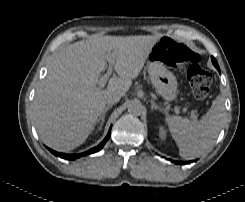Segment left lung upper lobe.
Instances as JSON below:
<instances>
[{"instance_id": "left-lung-upper-lobe-1", "label": "left lung upper lobe", "mask_w": 245, "mask_h": 202, "mask_svg": "<svg viewBox=\"0 0 245 202\" xmlns=\"http://www.w3.org/2000/svg\"><path fill=\"white\" fill-rule=\"evenodd\" d=\"M213 65L217 68V70L220 72V68L218 66V63L214 57H211Z\"/></svg>"}]
</instances>
